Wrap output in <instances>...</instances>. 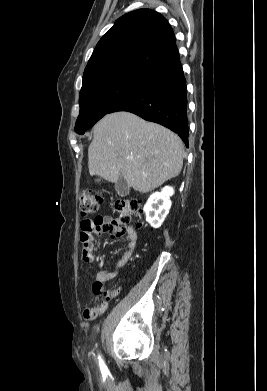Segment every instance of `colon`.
Wrapping results in <instances>:
<instances>
[{
	"label": "colon",
	"mask_w": 267,
	"mask_h": 391,
	"mask_svg": "<svg viewBox=\"0 0 267 391\" xmlns=\"http://www.w3.org/2000/svg\"><path fill=\"white\" fill-rule=\"evenodd\" d=\"M103 201V196L100 192L93 190H84L79 196V210L83 217L95 214ZM115 209L119 216L116 222L124 226L132 221L135 216L142 213L141 204L136 199L119 200L115 203ZM98 217V216H97ZM81 244L86 243V238H82Z\"/></svg>",
	"instance_id": "5ec220e1"
}]
</instances>
